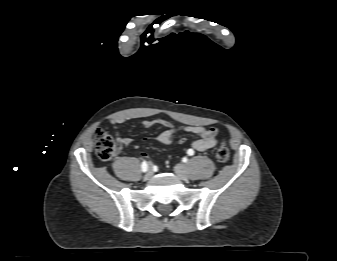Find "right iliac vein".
I'll return each mask as SVG.
<instances>
[{"label": "right iliac vein", "mask_w": 337, "mask_h": 261, "mask_svg": "<svg viewBox=\"0 0 337 261\" xmlns=\"http://www.w3.org/2000/svg\"><path fill=\"white\" fill-rule=\"evenodd\" d=\"M153 174V170L150 168L147 172V174L145 175V179H149Z\"/></svg>", "instance_id": "obj_1"}]
</instances>
